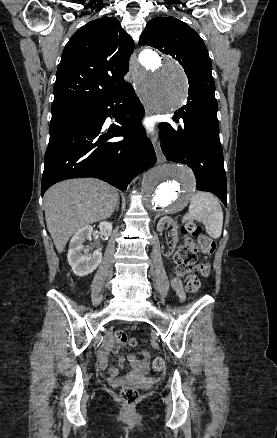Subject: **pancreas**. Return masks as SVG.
Here are the masks:
<instances>
[{"label": "pancreas", "mask_w": 277, "mask_h": 438, "mask_svg": "<svg viewBox=\"0 0 277 438\" xmlns=\"http://www.w3.org/2000/svg\"><path fill=\"white\" fill-rule=\"evenodd\" d=\"M183 219H184V221H186V222H187V221H189V219H190V218H189V216H187V215H186V216H184V218H183Z\"/></svg>", "instance_id": "cf45deb5"}]
</instances>
